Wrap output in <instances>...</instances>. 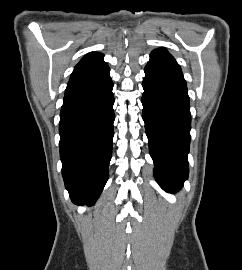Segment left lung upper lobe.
I'll return each instance as SVG.
<instances>
[{
    "instance_id": "obj_1",
    "label": "left lung upper lobe",
    "mask_w": 242,
    "mask_h": 270,
    "mask_svg": "<svg viewBox=\"0 0 242 270\" xmlns=\"http://www.w3.org/2000/svg\"><path fill=\"white\" fill-rule=\"evenodd\" d=\"M150 56H154V57H172L165 49H158V50H154L152 51V53L150 54Z\"/></svg>"
}]
</instances>
